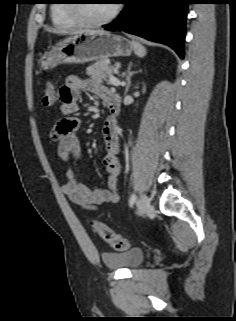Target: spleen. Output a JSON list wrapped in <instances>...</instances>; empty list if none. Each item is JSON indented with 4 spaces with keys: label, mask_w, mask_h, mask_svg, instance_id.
<instances>
[{
    "label": "spleen",
    "mask_w": 236,
    "mask_h": 321,
    "mask_svg": "<svg viewBox=\"0 0 236 321\" xmlns=\"http://www.w3.org/2000/svg\"><path fill=\"white\" fill-rule=\"evenodd\" d=\"M135 54L139 57H143L146 54V49L138 42H131Z\"/></svg>",
    "instance_id": "obj_1"
}]
</instances>
